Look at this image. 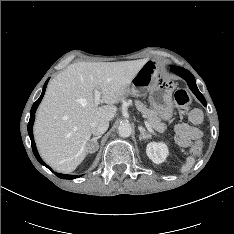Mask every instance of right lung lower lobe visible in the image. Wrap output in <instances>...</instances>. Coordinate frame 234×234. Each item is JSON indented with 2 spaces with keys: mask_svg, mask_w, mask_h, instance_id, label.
<instances>
[{
  "mask_svg": "<svg viewBox=\"0 0 234 234\" xmlns=\"http://www.w3.org/2000/svg\"><path fill=\"white\" fill-rule=\"evenodd\" d=\"M49 80V79H48ZM48 80L45 82L44 86H43V90H42V94L41 96L39 97V99L33 104L32 108H31V111H30V120H29V123H28V133H29V136H30V139H31V145H32V150H33V153L36 157V159L44 166H46L48 169H50L52 171V169L46 165L44 163V161L40 158L39 154H38V151L36 149V145H35V142H34V137H33V123H34V119H35V112H36V109L39 105V103L41 102L43 96H44V93H45V89H46V86H47V83H48ZM58 177L62 178V179H75L76 176H73V175H65V174H58V173H55Z\"/></svg>",
  "mask_w": 234,
  "mask_h": 234,
  "instance_id": "98d812e1",
  "label": "right lung lower lobe"
}]
</instances>
